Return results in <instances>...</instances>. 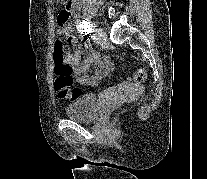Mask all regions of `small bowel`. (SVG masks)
Instances as JSON below:
<instances>
[{"mask_svg":"<svg viewBox=\"0 0 207 179\" xmlns=\"http://www.w3.org/2000/svg\"><path fill=\"white\" fill-rule=\"evenodd\" d=\"M82 2L83 0H69L65 8L60 11L57 16V34L65 36L74 45L73 51L66 55V61L71 66L76 81L82 85L95 87L111 76L113 64L108 56L93 51L92 44L79 43L73 36L74 27L68 24V19L79 17ZM84 25L85 22L77 21L78 28L82 29ZM82 50L90 51L83 60L80 58Z\"/></svg>","mask_w":207,"mask_h":179,"instance_id":"c3829d8e","label":"small bowel"}]
</instances>
